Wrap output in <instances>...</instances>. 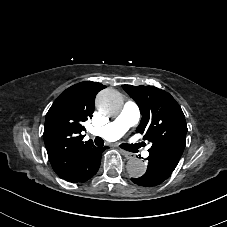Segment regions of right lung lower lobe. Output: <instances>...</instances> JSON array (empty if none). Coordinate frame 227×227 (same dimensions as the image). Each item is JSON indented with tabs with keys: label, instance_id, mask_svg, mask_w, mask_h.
Segmentation results:
<instances>
[{
	"label": "right lung lower lobe",
	"instance_id": "right-lung-lower-lobe-1",
	"mask_svg": "<svg viewBox=\"0 0 227 227\" xmlns=\"http://www.w3.org/2000/svg\"><path fill=\"white\" fill-rule=\"evenodd\" d=\"M106 147H91L87 149L75 163L60 178L69 182H85L93 177L101 163L102 152Z\"/></svg>",
	"mask_w": 227,
	"mask_h": 227
}]
</instances>
